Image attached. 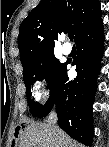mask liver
I'll list each match as a JSON object with an SVG mask.
<instances>
[{"label":"liver","instance_id":"1","mask_svg":"<svg viewBox=\"0 0 109 147\" xmlns=\"http://www.w3.org/2000/svg\"><path fill=\"white\" fill-rule=\"evenodd\" d=\"M19 147H78V143L57 126L31 123L21 132Z\"/></svg>","mask_w":109,"mask_h":147}]
</instances>
